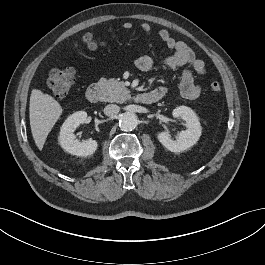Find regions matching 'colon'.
<instances>
[{"label":"colon","instance_id":"colon-1","mask_svg":"<svg viewBox=\"0 0 265 265\" xmlns=\"http://www.w3.org/2000/svg\"><path fill=\"white\" fill-rule=\"evenodd\" d=\"M83 45L86 48H94L96 46V41L93 35L86 34L83 37ZM75 74L72 69H61L56 68L51 70L48 76V87L52 93L58 98L66 97L74 83ZM209 93L212 96H219L222 93L221 83L214 81L209 85Z\"/></svg>","mask_w":265,"mask_h":265}]
</instances>
